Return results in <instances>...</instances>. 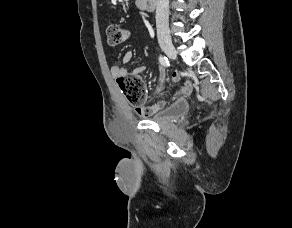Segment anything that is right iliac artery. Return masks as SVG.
<instances>
[{
  "mask_svg": "<svg viewBox=\"0 0 292 228\" xmlns=\"http://www.w3.org/2000/svg\"><path fill=\"white\" fill-rule=\"evenodd\" d=\"M159 62H160L161 65H163V66H165V67L170 66L169 60H168V58L165 57V56H160V57H159Z\"/></svg>",
  "mask_w": 292,
  "mask_h": 228,
  "instance_id": "right-iliac-artery-1",
  "label": "right iliac artery"
}]
</instances>
